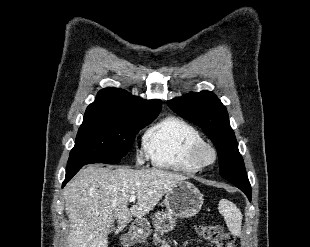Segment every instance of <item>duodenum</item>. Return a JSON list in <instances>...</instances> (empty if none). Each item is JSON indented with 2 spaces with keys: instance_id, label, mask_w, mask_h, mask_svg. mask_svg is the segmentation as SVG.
I'll return each instance as SVG.
<instances>
[{
  "instance_id": "obj_1",
  "label": "duodenum",
  "mask_w": 310,
  "mask_h": 247,
  "mask_svg": "<svg viewBox=\"0 0 310 247\" xmlns=\"http://www.w3.org/2000/svg\"><path fill=\"white\" fill-rule=\"evenodd\" d=\"M125 241H126L127 244H129L130 239L126 238Z\"/></svg>"
}]
</instances>
